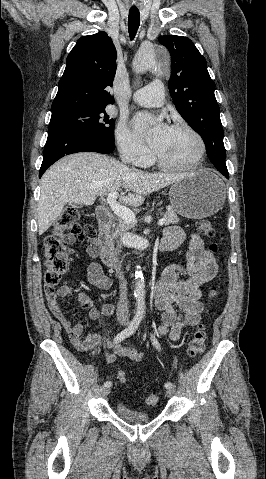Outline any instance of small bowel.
<instances>
[{"instance_id": "c3829d8e", "label": "small bowel", "mask_w": 266, "mask_h": 479, "mask_svg": "<svg viewBox=\"0 0 266 479\" xmlns=\"http://www.w3.org/2000/svg\"><path fill=\"white\" fill-rule=\"evenodd\" d=\"M64 240L73 243L75 238L67 234L64 236ZM186 240L189 241L186 263L172 264L166 267L154 288L155 306L161 313L158 332L160 335L169 334L173 341H177L187 327L200 323L204 309L202 286L212 281L218 271L213 254L206 249L204 242L197 234L187 237L180 227L169 226L165 229L161 239V247L164 250H175L180 248ZM89 252L91 254L90 250ZM88 273L90 282L98 289L108 290L112 287L111 277L104 274L102 266L98 262L90 264ZM181 276L185 279H180ZM73 291V285L64 284L57 290L51 292L46 290L45 294L50 311L65 329L75 348L82 352L112 349V353L107 350L103 351L109 362H113L117 358H128L134 362L141 361L143 352L131 346L117 344L103 338L98 333H88L83 336V326L80 323H73L66 316L61 303V300L68 298ZM175 305L180 311L175 309ZM79 309H88V318L91 321L101 317H110L115 313L114 305L105 304L96 307L91 296L82 291L78 295L76 310Z\"/></svg>"}]
</instances>
